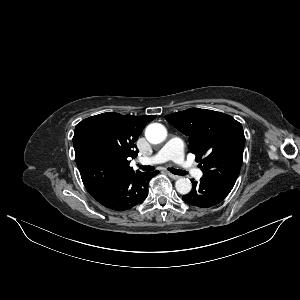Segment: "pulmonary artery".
I'll return each instance as SVG.
<instances>
[{"mask_svg":"<svg viewBox=\"0 0 300 300\" xmlns=\"http://www.w3.org/2000/svg\"><path fill=\"white\" fill-rule=\"evenodd\" d=\"M167 160H173L188 174L196 178L202 177V172L185 160L183 152V142L178 138L170 139L156 155L151 157H142L139 159L140 163L144 165L161 163Z\"/></svg>","mask_w":300,"mask_h":300,"instance_id":"obj_1","label":"pulmonary artery"}]
</instances>
